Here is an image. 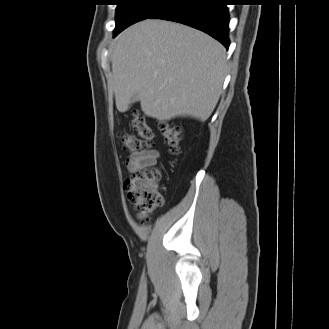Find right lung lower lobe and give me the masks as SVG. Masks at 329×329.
I'll return each mask as SVG.
<instances>
[{
    "label": "right lung lower lobe",
    "instance_id": "98d812e1",
    "mask_svg": "<svg viewBox=\"0 0 329 329\" xmlns=\"http://www.w3.org/2000/svg\"><path fill=\"white\" fill-rule=\"evenodd\" d=\"M227 0H174L151 19H164L199 29L229 47Z\"/></svg>",
    "mask_w": 329,
    "mask_h": 329
}]
</instances>
